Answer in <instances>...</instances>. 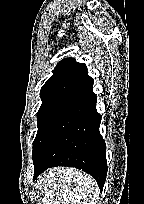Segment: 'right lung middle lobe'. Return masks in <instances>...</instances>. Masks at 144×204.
Wrapping results in <instances>:
<instances>
[{
	"mask_svg": "<svg viewBox=\"0 0 144 204\" xmlns=\"http://www.w3.org/2000/svg\"><path fill=\"white\" fill-rule=\"evenodd\" d=\"M74 100L75 98L63 96L42 103L37 113L38 131L33 142V161L53 133L58 120Z\"/></svg>",
	"mask_w": 144,
	"mask_h": 204,
	"instance_id": "1",
	"label": "right lung middle lobe"
}]
</instances>
